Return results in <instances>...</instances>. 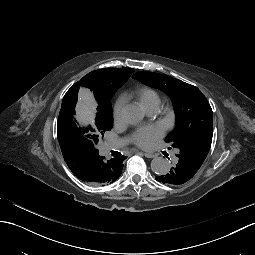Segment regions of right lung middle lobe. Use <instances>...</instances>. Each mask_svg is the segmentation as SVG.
Returning a JSON list of instances; mask_svg holds the SVG:
<instances>
[{
    "label": "right lung middle lobe",
    "mask_w": 255,
    "mask_h": 255,
    "mask_svg": "<svg viewBox=\"0 0 255 255\" xmlns=\"http://www.w3.org/2000/svg\"><path fill=\"white\" fill-rule=\"evenodd\" d=\"M74 106H61L58 118V140L60 147H69L77 153H87L91 147H96L104 132L113 125V111L110 100L101 101L97 106L94 127L81 128L74 118Z\"/></svg>",
    "instance_id": "1"
}]
</instances>
